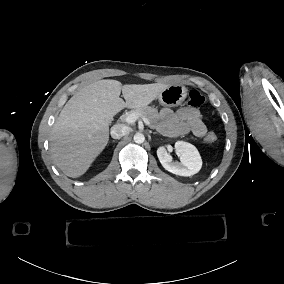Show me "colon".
Masks as SVG:
<instances>
[{
	"mask_svg": "<svg viewBox=\"0 0 284 284\" xmlns=\"http://www.w3.org/2000/svg\"><path fill=\"white\" fill-rule=\"evenodd\" d=\"M188 105L193 108H200L205 104L204 96L196 89H189L188 92ZM216 140V135L210 132L206 135L205 141L207 143H213Z\"/></svg>",
	"mask_w": 284,
	"mask_h": 284,
	"instance_id": "obj_1",
	"label": "colon"
}]
</instances>
